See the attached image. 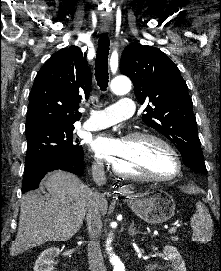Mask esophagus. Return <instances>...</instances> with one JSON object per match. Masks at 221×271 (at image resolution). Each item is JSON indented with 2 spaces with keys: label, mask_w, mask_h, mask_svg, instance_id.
<instances>
[{
  "label": "esophagus",
  "mask_w": 221,
  "mask_h": 271,
  "mask_svg": "<svg viewBox=\"0 0 221 271\" xmlns=\"http://www.w3.org/2000/svg\"><path fill=\"white\" fill-rule=\"evenodd\" d=\"M108 31H109L108 28L101 27V33L105 34V33H108ZM121 190L126 194L130 191L129 188L125 186H123Z\"/></svg>",
  "instance_id": "obj_1"
}]
</instances>
